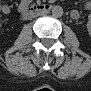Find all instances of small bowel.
Segmentation results:
<instances>
[{"instance_id": "obj_1", "label": "small bowel", "mask_w": 91, "mask_h": 91, "mask_svg": "<svg viewBox=\"0 0 91 91\" xmlns=\"http://www.w3.org/2000/svg\"><path fill=\"white\" fill-rule=\"evenodd\" d=\"M25 5H26V1H22V2L20 3V7H21V8H23ZM74 14H76V12H74Z\"/></svg>"}]
</instances>
